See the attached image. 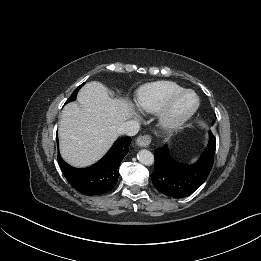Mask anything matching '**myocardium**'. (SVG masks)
Here are the masks:
<instances>
[{"label": "myocardium", "mask_w": 261, "mask_h": 261, "mask_svg": "<svg viewBox=\"0 0 261 261\" xmlns=\"http://www.w3.org/2000/svg\"><path fill=\"white\" fill-rule=\"evenodd\" d=\"M186 94H193L196 98L195 105L187 112L176 115L174 113V106L177 101ZM200 106V98L198 94L190 89H183L174 94L159 111L158 119L159 125L166 131H174L181 128L193 115L197 112Z\"/></svg>", "instance_id": "1"}]
</instances>
